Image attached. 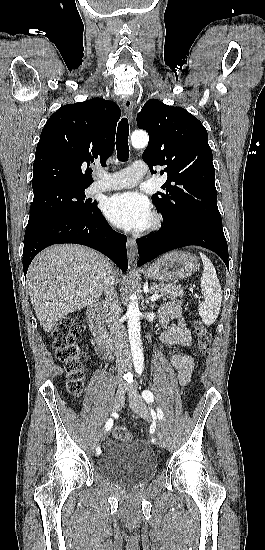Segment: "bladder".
<instances>
[{"instance_id":"obj_1","label":"bladder","mask_w":265,"mask_h":550,"mask_svg":"<svg viewBox=\"0 0 265 550\" xmlns=\"http://www.w3.org/2000/svg\"><path fill=\"white\" fill-rule=\"evenodd\" d=\"M157 467V458L148 443L134 437L110 442L98 461L100 472L130 485L149 481L155 475Z\"/></svg>"}]
</instances>
